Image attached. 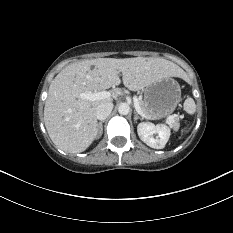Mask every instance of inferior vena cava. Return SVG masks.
Masks as SVG:
<instances>
[{
    "mask_svg": "<svg viewBox=\"0 0 233 233\" xmlns=\"http://www.w3.org/2000/svg\"><path fill=\"white\" fill-rule=\"evenodd\" d=\"M113 109L112 102H103L99 104L96 108V118L98 120H105Z\"/></svg>",
    "mask_w": 233,
    "mask_h": 233,
    "instance_id": "1",
    "label": "inferior vena cava"
}]
</instances>
